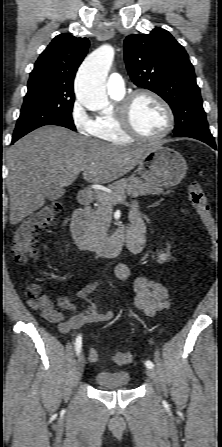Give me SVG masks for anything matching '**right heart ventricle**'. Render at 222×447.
<instances>
[{"mask_svg": "<svg viewBox=\"0 0 222 447\" xmlns=\"http://www.w3.org/2000/svg\"><path fill=\"white\" fill-rule=\"evenodd\" d=\"M111 97L120 101L123 95H111ZM92 135L111 144H127L133 140L124 134L119 127L117 111L98 115L94 120Z\"/></svg>", "mask_w": 222, "mask_h": 447, "instance_id": "e07e8e85", "label": "right heart ventricle"}]
</instances>
